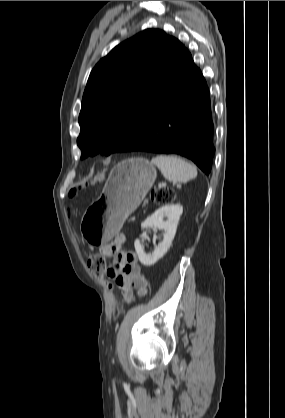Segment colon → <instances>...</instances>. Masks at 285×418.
<instances>
[{"label": "colon", "mask_w": 285, "mask_h": 418, "mask_svg": "<svg viewBox=\"0 0 285 418\" xmlns=\"http://www.w3.org/2000/svg\"><path fill=\"white\" fill-rule=\"evenodd\" d=\"M150 199L155 203H167L174 200V193L169 189L159 188L151 192ZM88 263L90 269L96 276L102 279L106 277L107 264L103 254H94L90 256L88 258ZM105 284L111 287L110 279H105Z\"/></svg>", "instance_id": "colon-1"}]
</instances>
